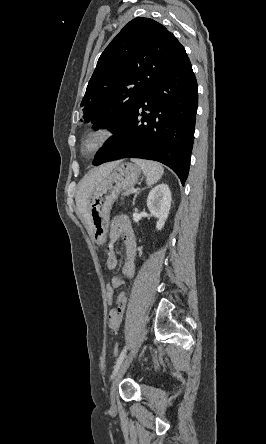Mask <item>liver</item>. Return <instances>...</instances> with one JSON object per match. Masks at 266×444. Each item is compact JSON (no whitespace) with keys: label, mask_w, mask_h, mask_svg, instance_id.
<instances>
[{"label":"liver","mask_w":266,"mask_h":444,"mask_svg":"<svg viewBox=\"0 0 266 444\" xmlns=\"http://www.w3.org/2000/svg\"><path fill=\"white\" fill-rule=\"evenodd\" d=\"M119 162H111L100 166L97 169L90 171L84 178L79 182L78 192L76 195V205L78 211L82 214L88 232L91 234L89 226V218L87 214V202L88 199L95 189V187L108 176V174L118 165Z\"/></svg>","instance_id":"6515ba94"}]
</instances>
